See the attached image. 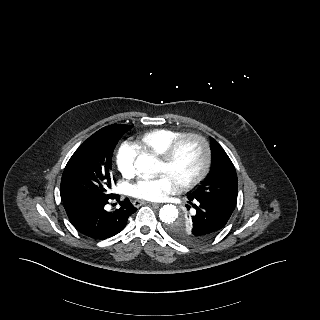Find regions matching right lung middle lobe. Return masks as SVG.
Masks as SVG:
<instances>
[{
  "label": "right lung middle lobe",
  "instance_id": "obj_1",
  "mask_svg": "<svg viewBox=\"0 0 320 320\" xmlns=\"http://www.w3.org/2000/svg\"><path fill=\"white\" fill-rule=\"evenodd\" d=\"M130 125L106 126L81 144L68 161L61 179V198H108L113 151Z\"/></svg>",
  "mask_w": 320,
  "mask_h": 320
}]
</instances>
